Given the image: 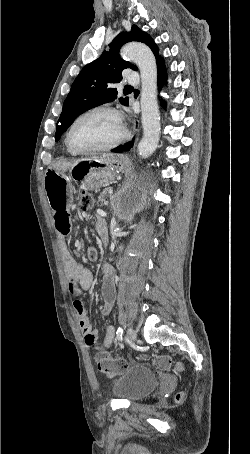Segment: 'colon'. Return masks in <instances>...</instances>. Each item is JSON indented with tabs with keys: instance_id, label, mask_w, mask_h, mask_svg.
Instances as JSON below:
<instances>
[{
	"instance_id": "1",
	"label": "colon",
	"mask_w": 250,
	"mask_h": 454,
	"mask_svg": "<svg viewBox=\"0 0 250 454\" xmlns=\"http://www.w3.org/2000/svg\"><path fill=\"white\" fill-rule=\"evenodd\" d=\"M95 202L94 195L90 191H82L80 196L79 207L81 210H88L93 207ZM154 365L163 370L174 369L179 370L180 365L174 363L167 356H156L153 359ZM96 364L100 373L105 376H114L123 371L128 367L127 361L122 357H111L104 352H100L96 355ZM179 394L177 398H180Z\"/></svg>"
}]
</instances>
